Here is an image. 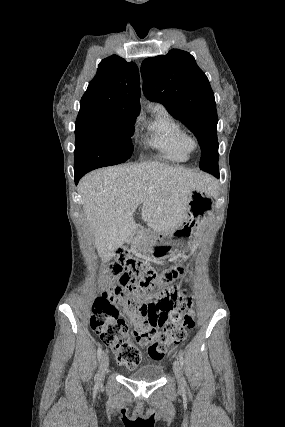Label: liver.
I'll use <instances>...</instances> for the list:
<instances>
[{
	"label": "liver",
	"instance_id": "6515ba94",
	"mask_svg": "<svg viewBox=\"0 0 285 427\" xmlns=\"http://www.w3.org/2000/svg\"><path fill=\"white\" fill-rule=\"evenodd\" d=\"M78 189L99 256L109 260L133 235V214L140 204L144 222L169 233L184 221L190 192L213 194L216 183L196 170L143 162L92 171Z\"/></svg>",
	"mask_w": 285,
	"mask_h": 427
}]
</instances>
